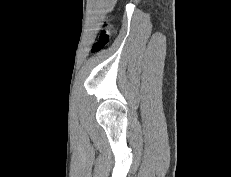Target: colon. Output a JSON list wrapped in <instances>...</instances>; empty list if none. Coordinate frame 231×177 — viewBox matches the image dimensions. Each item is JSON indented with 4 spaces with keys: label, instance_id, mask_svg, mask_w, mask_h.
Listing matches in <instances>:
<instances>
[{
    "label": "colon",
    "instance_id": "obj_1",
    "mask_svg": "<svg viewBox=\"0 0 231 177\" xmlns=\"http://www.w3.org/2000/svg\"><path fill=\"white\" fill-rule=\"evenodd\" d=\"M111 32L107 27H104L99 35V40L96 42L94 46L95 51L101 50L110 40Z\"/></svg>",
    "mask_w": 231,
    "mask_h": 177
}]
</instances>
